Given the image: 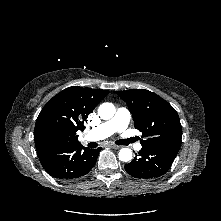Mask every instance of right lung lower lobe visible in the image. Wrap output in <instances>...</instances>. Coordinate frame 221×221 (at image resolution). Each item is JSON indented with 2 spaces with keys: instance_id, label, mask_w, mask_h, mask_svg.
I'll list each match as a JSON object with an SVG mask.
<instances>
[{
  "instance_id": "obj_1",
  "label": "right lung lower lobe",
  "mask_w": 221,
  "mask_h": 221,
  "mask_svg": "<svg viewBox=\"0 0 221 221\" xmlns=\"http://www.w3.org/2000/svg\"><path fill=\"white\" fill-rule=\"evenodd\" d=\"M101 148L90 149L80 143L37 150L45 171L56 178L74 180L86 175L95 165Z\"/></svg>"
}]
</instances>
